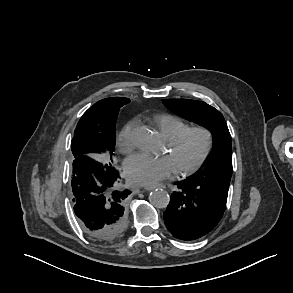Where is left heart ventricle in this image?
Instances as JSON below:
<instances>
[{
	"label": "left heart ventricle",
	"instance_id": "1",
	"mask_svg": "<svg viewBox=\"0 0 293 293\" xmlns=\"http://www.w3.org/2000/svg\"><path fill=\"white\" fill-rule=\"evenodd\" d=\"M203 145V137L198 133L189 135L182 144L171 151L168 148L169 157L172 159L175 169L186 167L199 155Z\"/></svg>",
	"mask_w": 293,
	"mask_h": 293
}]
</instances>
